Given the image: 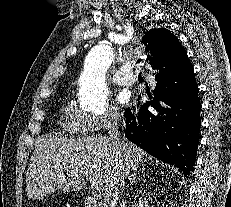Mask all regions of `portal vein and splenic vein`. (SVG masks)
Instances as JSON below:
<instances>
[{
    "label": "portal vein and splenic vein",
    "mask_w": 231,
    "mask_h": 207,
    "mask_svg": "<svg viewBox=\"0 0 231 207\" xmlns=\"http://www.w3.org/2000/svg\"><path fill=\"white\" fill-rule=\"evenodd\" d=\"M91 188L95 189L97 192L101 193L103 191L101 184L96 181H92Z\"/></svg>",
    "instance_id": "portal-vein-and-splenic-vein-1"
}]
</instances>
